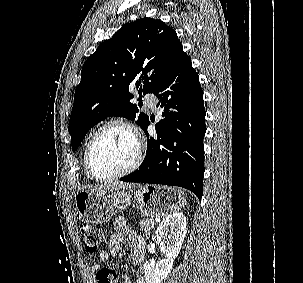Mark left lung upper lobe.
<instances>
[{
	"label": "left lung upper lobe",
	"mask_w": 303,
	"mask_h": 283,
	"mask_svg": "<svg viewBox=\"0 0 303 283\" xmlns=\"http://www.w3.org/2000/svg\"><path fill=\"white\" fill-rule=\"evenodd\" d=\"M183 47L175 30L157 19L143 18L118 30L85 61L75 90L69 120L72 150L86 133L108 116L136 120L143 128L148 116L130 103L135 86L139 94L152 93L173 66Z\"/></svg>",
	"instance_id": "1"
}]
</instances>
